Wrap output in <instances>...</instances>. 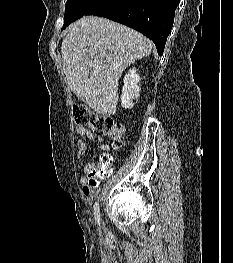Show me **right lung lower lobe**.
Instances as JSON below:
<instances>
[{
	"instance_id": "98d812e1",
	"label": "right lung lower lobe",
	"mask_w": 233,
	"mask_h": 263,
	"mask_svg": "<svg viewBox=\"0 0 233 263\" xmlns=\"http://www.w3.org/2000/svg\"><path fill=\"white\" fill-rule=\"evenodd\" d=\"M179 2L180 0H122L112 13L102 16L141 32L155 43L158 54L162 55Z\"/></svg>"
}]
</instances>
